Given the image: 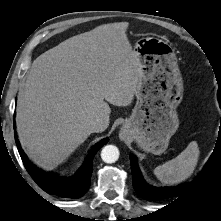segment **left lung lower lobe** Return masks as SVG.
Wrapping results in <instances>:
<instances>
[{
    "label": "left lung lower lobe",
    "mask_w": 221,
    "mask_h": 221,
    "mask_svg": "<svg viewBox=\"0 0 221 221\" xmlns=\"http://www.w3.org/2000/svg\"><path fill=\"white\" fill-rule=\"evenodd\" d=\"M219 103L221 107V98L219 97ZM130 162H131V169H132V177H133V186L135 191L144 199L149 201H156L171 197H177L179 195H183L187 190H189L195 182L200 178L202 173L199 175V177L196 179V181L192 184H182L175 187H154L152 185H149L145 182V180L142 177V174L138 168L137 160L136 158L131 155L130 156Z\"/></svg>",
    "instance_id": "1"
}]
</instances>
